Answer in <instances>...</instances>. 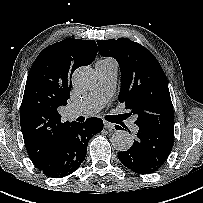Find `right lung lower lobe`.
<instances>
[{
  "mask_svg": "<svg viewBox=\"0 0 203 203\" xmlns=\"http://www.w3.org/2000/svg\"><path fill=\"white\" fill-rule=\"evenodd\" d=\"M102 129L103 121L100 118H88L84 123L71 122L51 156L36 168L53 178H61L73 173L85 159L88 141Z\"/></svg>",
  "mask_w": 203,
  "mask_h": 203,
  "instance_id": "98d812e1",
  "label": "right lung lower lobe"
}]
</instances>
